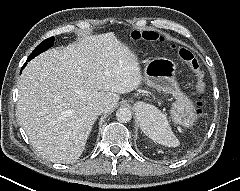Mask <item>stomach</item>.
Wrapping results in <instances>:
<instances>
[{
	"label": "stomach",
	"instance_id": "1",
	"mask_svg": "<svg viewBox=\"0 0 240 191\" xmlns=\"http://www.w3.org/2000/svg\"><path fill=\"white\" fill-rule=\"evenodd\" d=\"M175 75V63L167 58L159 57L146 63L142 80L152 88L173 94L176 99L171 109V116L174 122L184 127H190L196 119L193 112V102L180 91ZM143 111L145 110L139 109L138 117Z\"/></svg>",
	"mask_w": 240,
	"mask_h": 191
}]
</instances>
